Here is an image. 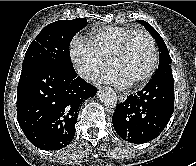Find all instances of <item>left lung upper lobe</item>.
Instances as JSON below:
<instances>
[{"label": "left lung upper lobe", "instance_id": "obj_1", "mask_svg": "<svg viewBox=\"0 0 196 166\" xmlns=\"http://www.w3.org/2000/svg\"><path fill=\"white\" fill-rule=\"evenodd\" d=\"M139 22L149 31V33L155 38L158 48H159V67H163L166 65L171 64V58L169 55V51L167 49V46L162 39V37L159 35V33L146 21L139 20Z\"/></svg>", "mask_w": 196, "mask_h": 166}]
</instances>
